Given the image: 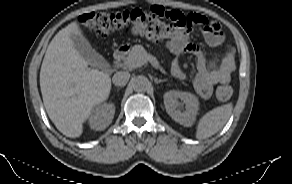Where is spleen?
<instances>
[{
  "mask_svg": "<svg viewBox=\"0 0 292 184\" xmlns=\"http://www.w3.org/2000/svg\"><path fill=\"white\" fill-rule=\"evenodd\" d=\"M232 110V103H228L207 112L198 121L196 138L206 139L217 133L228 121L232 114Z\"/></svg>",
  "mask_w": 292,
  "mask_h": 184,
  "instance_id": "3e777b00",
  "label": "spleen"
}]
</instances>
